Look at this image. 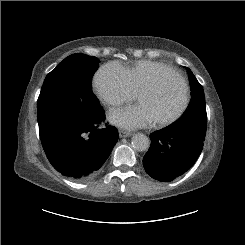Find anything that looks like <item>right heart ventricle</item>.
<instances>
[{"mask_svg": "<svg viewBox=\"0 0 245 245\" xmlns=\"http://www.w3.org/2000/svg\"><path fill=\"white\" fill-rule=\"evenodd\" d=\"M169 68L163 63L144 60L126 70L135 92L139 93L144 87L154 83L159 73Z\"/></svg>", "mask_w": 245, "mask_h": 245, "instance_id": "obj_1", "label": "right heart ventricle"}]
</instances>
